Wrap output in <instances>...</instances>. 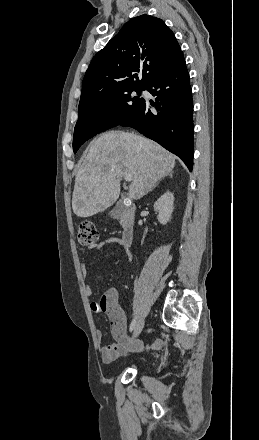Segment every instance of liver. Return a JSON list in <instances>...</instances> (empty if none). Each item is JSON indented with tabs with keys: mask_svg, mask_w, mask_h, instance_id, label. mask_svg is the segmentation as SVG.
<instances>
[{
	"mask_svg": "<svg viewBox=\"0 0 259 440\" xmlns=\"http://www.w3.org/2000/svg\"><path fill=\"white\" fill-rule=\"evenodd\" d=\"M175 156L135 133L109 131L92 140L80 165L72 195L78 217H90L117 201L120 181L132 175L129 197L138 200L172 172Z\"/></svg>",
	"mask_w": 259,
	"mask_h": 440,
	"instance_id": "1",
	"label": "liver"
}]
</instances>
